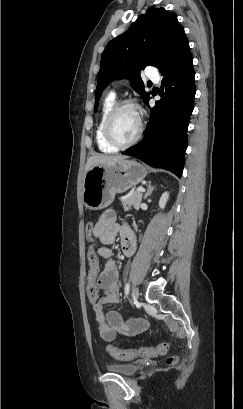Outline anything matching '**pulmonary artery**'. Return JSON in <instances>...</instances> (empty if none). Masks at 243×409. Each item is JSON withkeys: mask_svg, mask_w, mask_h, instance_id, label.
<instances>
[{"mask_svg": "<svg viewBox=\"0 0 243 409\" xmlns=\"http://www.w3.org/2000/svg\"><path fill=\"white\" fill-rule=\"evenodd\" d=\"M147 77L155 82H159L160 81V76L158 74V72L156 70H149L146 73Z\"/></svg>", "mask_w": 243, "mask_h": 409, "instance_id": "1", "label": "pulmonary artery"}]
</instances>
